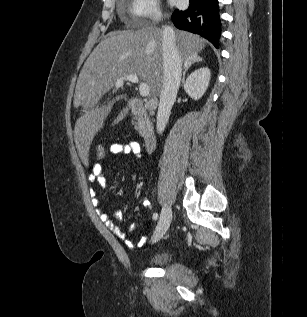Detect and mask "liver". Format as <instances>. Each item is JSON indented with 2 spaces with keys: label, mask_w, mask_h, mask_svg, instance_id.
Returning a JSON list of instances; mask_svg holds the SVG:
<instances>
[{
  "label": "liver",
  "mask_w": 307,
  "mask_h": 317,
  "mask_svg": "<svg viewBox=\"0 0 307 317\" xmlns=\"http://www.w3.org/2000/svg\"><path fill=\"white\" fill-rule=\"evenodd\" d=\"M161 28L145 27L109 33L93 50L79 74L74 107H82V116L75 124L74 139L80 162H91V144L96 133L103 127L104 120L115 103L99 107L103 95L110 91L115 82L133 74L144 81L153 96L160 94L163 85ZM175 45L182 58L188 60L205 48L206 41L199 35L175 30ZM123 97L116 98V101ZM128 109L124 108L113 124L123 119Z\"/></svg>",
  "instance_id": "1"
}]
</instances>
